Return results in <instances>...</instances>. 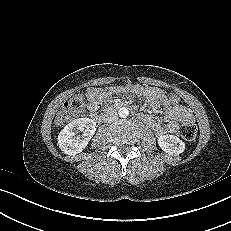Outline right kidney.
I'll use <instances>...</instances> for the list:
<instances>
[{"instance_id": "ca27d5eb", "label": "right kidney", "mask_w": 231, "mask_h": 231, "mask_svg": "<svg viewBox=\"0 0 231 231\" xmlns=\"http://www.w3.org/2000/svg\"><path fill=\"white\" fill-rule=\"evenodd\" d=\"M96 131V122L90 118H78L67 124L58 135L61 151L68 155L82 152ZM82 132V135H77Z\"/></svg>"}]
</instances>
